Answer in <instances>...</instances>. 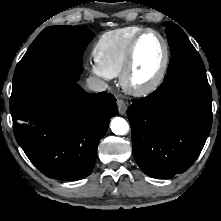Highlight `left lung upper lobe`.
<instances>
[{
	"label": "left lung upper lobe",
	"mask_w": 221,
	"mask_h": 221,
	"mask_svg": "<svg viewBox=\"0 0 221 221\" xmlns=\"http://www.w3.org/2000/svg\"><path fill=\"white\" fill-rule=\"evenodd\" d=\"M163 26L172 55L164 80L179 76L207 80L202 59L184 31L172 22H165Z\"/></svg>",
	"instance_id": "1"
}]
</instances>
